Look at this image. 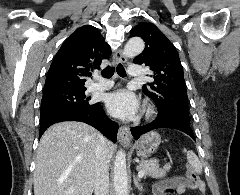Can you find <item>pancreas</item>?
Segmentation results:
<instances>
[{"mask_svg":"<svg viewBox=\"0 0 240 195\" xmlns=\"http://www.w3.org/2000/svg\"><path fill=\"white\" fill-rule=\"evenodd\" d=\"M158 161L159 159H141L139 165H137V169H139V171H141V169L142 171H145V175H151V177L160 179V177H165L170 167L160 169Z\"/></svg>","mask_w":240,"mask_h":195,"instance_id":"obj_1","label":"pancreas"}]
</instances>
